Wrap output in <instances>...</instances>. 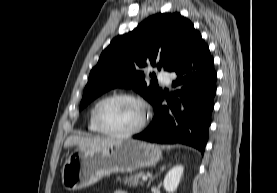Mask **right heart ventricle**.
Instances as JSON below:
<instances>
[{
    "instance_id": "obj_1",
    "label": "right heart ventricle",
    "mask_w": 277,
    "mask_h": 193,
    "mask_svg": "<svg viewBox=\"0 0 277 193\" xmlns=\"http://www.w3.org/2000/svg\"><path fill=\"white\" fill-rule=\"evenodd\" d=\"M92 110H93V108L91 109L90 114H89L87 128L92 133H100V131L96 128V126L93 123V120H92Z\"/></svg>"
}]
</instances>
